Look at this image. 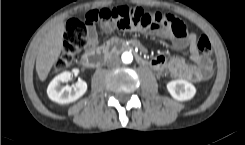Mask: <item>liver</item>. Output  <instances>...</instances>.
Returning <instances> with one entry per match:
<instances>
[{
	"label": "liver",
	"mask_w": 245,
	"mask_h": 145,
	"mask_svg": "<svg viewBox=\"0 0 245 145\" xmlns=\"http://www.w3.org/2000/svg\"><path fill=\"white\" fill-rule=\"evenodd\" d=\"M64 31V24L58 23L48 31L40 44L36 59V71L41 81L46 80L52 66L60 56Z\"/></svg>",
	"instance_id": "6515ba94"
}]
</instances>
